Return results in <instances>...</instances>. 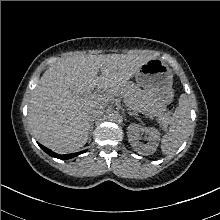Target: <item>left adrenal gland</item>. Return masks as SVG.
<instances>
[{
  "label": "left adrenal gland",
  "instance_id": "a2214340",
  "mask_svg": "<svg viewBox=\"0 0 220 220\" xmlns=\"http://www.w3.org/2000/svg\"><path fill=\"white\" fill-rule=\"evenodd\" d=\"M128 114L131 115V116L137 115L136 113L131 112V111H128Z\"/></svg>",
  "mask_w": 220,
  "mask_h": 220
}]
</instances>
